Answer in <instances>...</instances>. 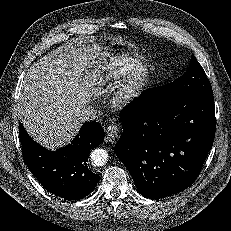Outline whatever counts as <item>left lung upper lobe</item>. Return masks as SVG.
I'll return each instance as SVG.
<instances>
[{"instance_id":"left-lung-upper-lobe-1","label":"left lung upper lobe","mask_w":231,"mask_h":231,"mask_svg":"<svg viewBox=\"0 0 231 231\" xmlns=\"http://www.w3.org/2000/svg\"><path fill=\"white\" fill-rule=\"evenodd\" d=\"M147 100L156 104H164L175 99L194 94H213L210 81L194 55L185 74L167 85L146 91Z\"/></svg>"}]
</instances>
